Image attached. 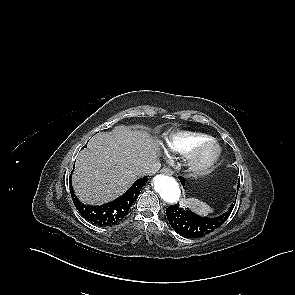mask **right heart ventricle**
Wrapping results in <instances>:
<instances>
[{"instance_id":"obj_1","label":"right heart ventricle","mask_w":295,"mask_h":295,"mask_svg":"<svg viewBox=\"0 0 295 295\" xmlns=\"http://www.w3.org/2000/svg\"><path fill=\"white\" fill-rule=\"evenodd\" d=\"M208 138L207 135L197 132H177L166 137L163 146L169 153L185 155L196 144Z\"/></svg>"}]
</instances>
